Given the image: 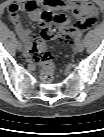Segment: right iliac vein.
Segmentation results:
<instances>
[{
    "instance_id": "obj_1",
    "label": "right iliac vein",
    "mask_w": 104,
    "mask_h": 137,
    "mask_svg": "<svg viewBox=\"0 0 104 137\" xmlns=\"http://www.w3.org/2000/svg\"><path fill=\"white\" fill-rule=\"evenodd\" d=\"M17 49L19 51H23V45H22V43H20V42L17 43Z\"/></svg>"
}]
</instances>
